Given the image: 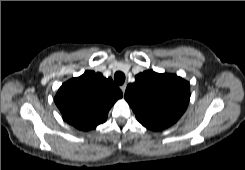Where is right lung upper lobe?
Returning <instances> with one entry per match:
<instances>
[{"instance_id":"right-lung-upper-lobe-1","label":"right lung upper lobe","mask_w":245,"mask_h":170,"mask_svg":"<svg viewBox=\"0 0 245 170\" xmlns=\"http://www.w3.org/2000/svg\"><path fill=\"white\" fill-rule=\"evenodd\" d=\"M122 91L111 78L101 73L86 71L77 78L65 82L54 101L64 121L79 130H91L107 119L108 111Z\"/></svg>"}]
</instances>
